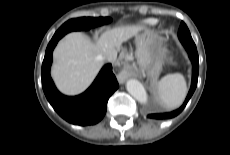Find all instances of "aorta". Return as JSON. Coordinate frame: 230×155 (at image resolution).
Here are the masks:
<instances>
[{"instance_id": "obj_1", "label": "aorta", "mask_w": 230, "mask_h": 155, "mask_svg": "<svg viewBox=\"0 0 230 155\" xmlns=\"http://www.w3.org/2000/svg\"><path fill=\"white\" fill-rule=\"evenodd\" d=\"M126 89L139 103H147V92L140 81L136 79H129L126 82Z\"/></svg>"}]
</instances>
